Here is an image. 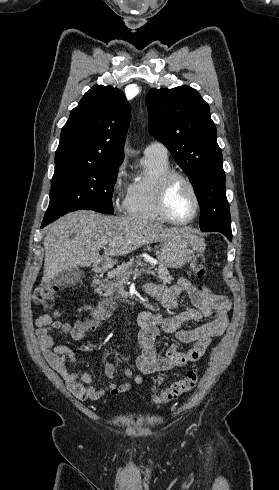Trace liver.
Wrapping results in <instances>:
<instances>
[{
  "instance_id": "obj_1",
  "label": "liver",
  "mask_w": 279,
  "mask_h": 490,
  "mask_svg": "<svg viewBox=\"0 0 279 490\" xmlns=\"http://www.w3.org/2000/svg\"><path fill=\"white\" fill-rule=\"evenodd\" d=\"M69 234H75L70 240ZM181 236L193 250H202V240L190 228H161L142 218L120 216L109 218L96 212H72L59 218L47 228L44 238V272L41 284L69 268L97 266L108 256H126L150 242H168ZM107 242L108 246H103ZM104 248V256L99 250Z\"/></svg>"
}]
</instances>
